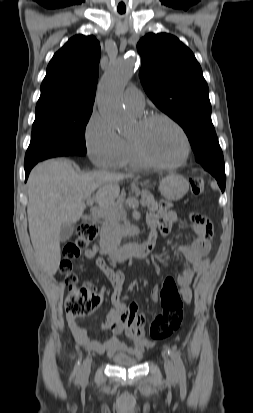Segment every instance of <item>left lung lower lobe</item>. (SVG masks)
<instances>
[{
	"instance_id": "obj_1",
	"label": "left lung lower lobe",
	"mask_w": 253,
	"mask_h": 413,
	"mask_svg": "<svg viewBox=\"0 0 253 413\" xmlns=\"http://www.w3.org/2000/svg\"><path fill=\"white\" fill-rule=\"evenodd\" d=\"M204 169L210 172L216 178L223 192L225 190V183H226L225 170L223 168H214V167H208Z\"/></svg>"
}]
</instances>
